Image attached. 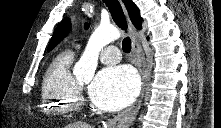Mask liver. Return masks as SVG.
<instances>
[{"label": "liver", "instance_id": "liver-1", "mask_svg": "<svg viewBox=\"0 0 221 128\" xmlns=\"http://www.w3.org/2000/svg\"><path fill=\"white\" fill-rule=\"evenodd\" d=\"M65 128H92V127L87 123L76 122V123L67 125Z\"/></svg>", "mask_w": 221, "mask_h": 128}]
</instances>
